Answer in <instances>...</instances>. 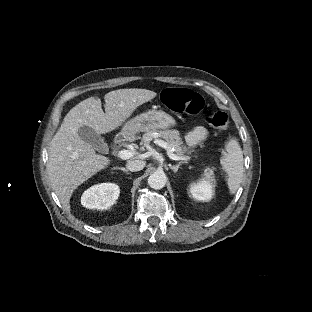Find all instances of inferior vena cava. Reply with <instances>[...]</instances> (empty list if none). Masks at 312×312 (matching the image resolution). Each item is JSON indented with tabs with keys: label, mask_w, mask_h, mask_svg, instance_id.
Segmentation results:
<instances>
[{
	"label": "inferior vena cava",
	"mask_w": 312,
	"mask_h": 312,
	"mask_svg": "<svg viewBox=\"0 0 312 312\" xmlns=\"http://www.w3.org/2000/svg\"><path fill=\"white\" fill-rule=\"evenodd\" d=\"M126 167L129 171L136 172L140 171L145 167V162L141 160H133L126 164Z\"/></svg>",
	"instance_id": "inferior-vena-cava-1"
}]
</instances>
